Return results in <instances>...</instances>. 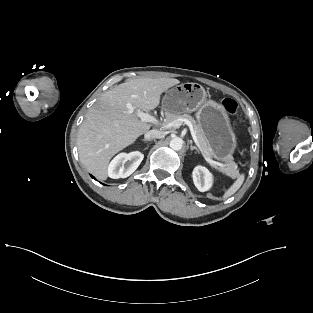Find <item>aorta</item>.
I'll return each instance as SVG.
<instances>
[{"label":"aorta","instance_id":"obj_1","mask_svg":"<svg viewBox=\"0 0 313 313\" xmlns=\"http://www.w3.org/2000/svg\"><path fill=\"white\" fill-rule=\"evenodd\" d=\"M183 146V140L180 137H174L170 141V147L173 150L179 151Z\"/></svg>","mask_w":313,"mask_h":313}]
</instances>
